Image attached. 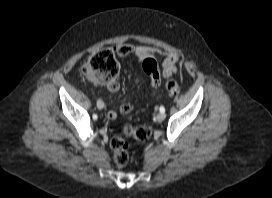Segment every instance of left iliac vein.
<instances>
[{"instance_id": "left-iliac-vein-1", "label": "left iliac vein", "mask_w": 272, "mask_h": 198, "mask_svg": "<svg viewBox=\"0 0 272 198\" xmlns=\"http://www.w3.org/2000/svg\"><path fill=\"white\" fill-rule=\"evenodd\" d=\"M156 120L158 121V122H162L164 119H165V113H158L157 115H156Z\"/></svg>"}]
</instances>
